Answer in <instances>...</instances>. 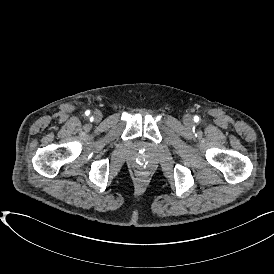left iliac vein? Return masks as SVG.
<instances>
[{
	"label": "left iliac vein",
	"mask_w": 274,
	"mask_h": 274,
	"mask_svg": "<svg viewBox=\"0 0 274 274\" xmlns=\"http://www.w3.org/2000/svg\"><path fill=\"white\" fill-rule=\"evenodd\" d=\"M183 121L187 126H191L193 124V118L188 114L184 116Z\"/></svg>",
	"instance_id": "4c4485c4"
}]
</instances>
